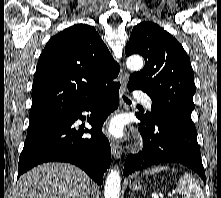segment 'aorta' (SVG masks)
Here are the masks:
<instances>
[{
	"instance_id": "762f6f07",
	"label": "aorta",
	"mask_w": 221,
	"mask_h": 198,
	"mask_svg": "<svg viewBox=\"0 0 221 198\" xmlns=\"http://www.w3.org/2000/svg\"><path fill=\"white\" fill-rule=\"evenodd\" d=\"M130 70L138 71L143 67V59L140 56H130L126 62ZM121 177L117 169H112L105 183V198H119Z\"/></svg>"
}]
</instances>
